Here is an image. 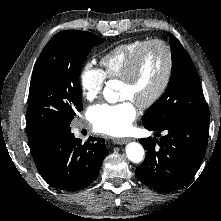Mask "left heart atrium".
Masks as SVG:
<instances>
[{
    "mask_svg": "<svg viewBox=\"0 0 221 221\" xmlns=\"http://www.w3.org/2000/svg\"><path fill=\"white\" fill-rule=\"evenodd\" d=\"M138 105L131 99L117 104L102 103L89 109V119L95 130L110 136H121L130 131L138 115Z\"/></svg>",
    "mask_w": 221,
    "mask_h": 221,
    "instance_id": "1",
    "label": "left heart atrium"
}]
</instances>
